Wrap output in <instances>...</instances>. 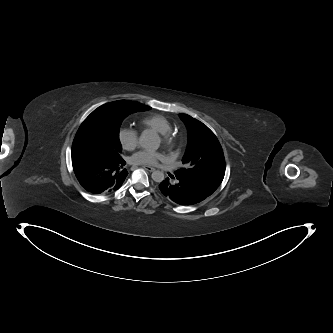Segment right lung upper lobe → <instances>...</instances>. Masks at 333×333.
<instances>
[{
    "instance_id": "1",
    "label": "right lung upper lobe",
    "mask_w": 333,
    "mask_h": 333,
    "mask_svg": "<svg viewBox=\"0 0 333 333\" xmlns=\"http://www.w3.org/2000/svg\"><path fill=\"white\" fill-rule=\"evenodd\" d=\"M139 109V111H146V110H149L151 109V107L147 106V105H144V104H141V103H138V102H133Z\"/></svg>"
}]
</instances>
